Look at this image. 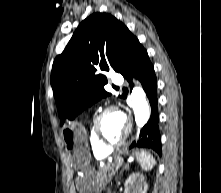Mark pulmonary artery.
Instances as JSON below:
<instances>
[{
	"mask_svg": "<svg viewBox=\"0 0 221 193\" xmlns=\"http://www.w3.org/2000/svg\"><path fill=\"white\" fill-rule=\"evenodd\" d=\"M124 79H123V76L121 74H114L113 77H112V82L114 83V85L116 87L122 85Z\"/></svg>",
	"mask_w": 221,
	"mask_h": 193,
	"instance_id": "pulmonary-artery-1",
	"label": "pulmonary artery"
}]
</instances>
